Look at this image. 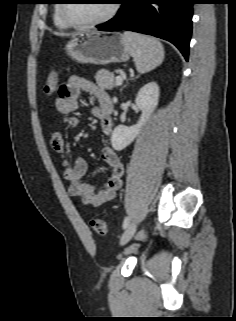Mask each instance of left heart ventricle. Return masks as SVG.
Masks as SVG:
<instances>
[{
  "label": "left heart ventricle",
  "instance_id": "obj_1",
  "mask_svg": "<svg viewBox=\"0 0 236 321\" xmlns=\"http://www.w3.org/2000/svg\"><path fill=\"white\" fill-rule=\"evenodd\" d=\"M111 7L109 0H77L66 6L67 15L77 22H90L104 17Z\"/></svg>",
  "mask_w": 236,
  "mask_h": 321
}]
</instances>
